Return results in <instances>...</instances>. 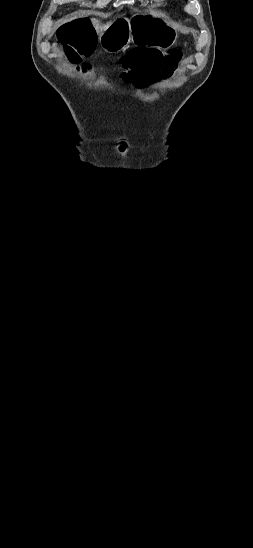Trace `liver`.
<instances>
[{
  "label": "liver",
  "mask_w": 253,
  "mask_h": 548,
  "mask_svg": "<svg viewBox=\"0 0 253 548\" xmlns=\"http://www.w3.org/2000/svg\"><path fill=\"white\" fill-rule=\"evenodd\" d=\"M91 23L98 33L106 30L111 24V23L101 24L97 19H93V18L91 19Z\"/></svg>",
  "instance_id": "6515ba94"
}]
</instances>
